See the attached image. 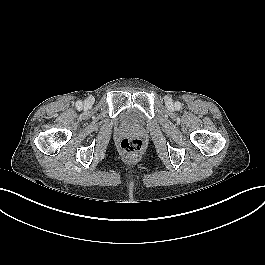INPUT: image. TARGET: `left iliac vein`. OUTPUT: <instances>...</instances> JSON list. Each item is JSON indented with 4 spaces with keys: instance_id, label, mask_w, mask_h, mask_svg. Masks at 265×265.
Here are the masks:
<instances>
[{
    "instance_id": "left-iliac-vein-1",
    "label": "left iliac vein",
    "mask_w": 265,
    "mask_h": 265,
    "mask_svg": "<svg viewBox=\"0 0 265 265\" xmlns=\"http://www.w3.org/2000/svg\"><path fill=\"white\" fill-rule=\"evenodd\" d=\"M166 104L169 108H172L174 105H173V101L170 97H167L166 98Z\"/></svg>"
}]
</instances>
